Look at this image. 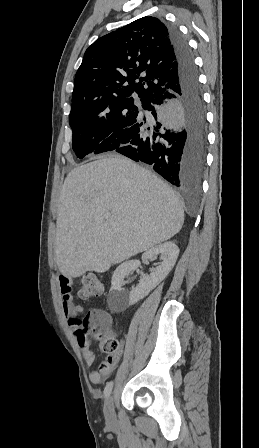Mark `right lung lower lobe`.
Instances as JSON below:
<instances>
[{"label": "right lung lower lobe", "instance_id": "right-lung-lower-lobe-1", "mask_svg": "<svg viewBox=\"0 0 259 448\" xmlns=\"http://www.w3.org/2000/svg\"><path fill=\"white\" fill-rule=\"evenodd\" d=\"M174 50L178 87L144 104L114 151L153 166L176 187H198L205 167L207 125L198 74L187 41L165 25Z\"/></svg>", "mask_w": 259, "mask_h": 448}]
</instances>
